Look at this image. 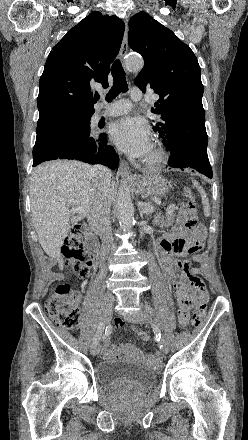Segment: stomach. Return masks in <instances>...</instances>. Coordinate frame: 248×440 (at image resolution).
Instances as JSON below:
<instances>
[{
	"mask_svg": "<svg viewBox=\"0 0 248 440\" xmlns=\"http://www.w3.org/2000/svg\"><path fill=\"white\" fill-rule=\"evenodd\" d=\"M170 185L159 175H143L136 179L135 190L142 197L161 198L168 194Z\"/></svg>",
	"mask_w": 248,
	"mask_h": 440,
	"instance_id": "stomach-1",
	"label": "stomach"
}]
</instances>
